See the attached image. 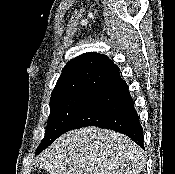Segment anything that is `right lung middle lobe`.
<instances>
[{
	"mask_svg": "<svg viewBox=\"0 0 175 174\" xmlns=\"http://www.w3.org/2000/svg\"><path fill=\"white\" fill-rule=\"evenodd\" d=\"M90 92H71L50 99V115L44 139L39 148L49 146L65 130Z\"/></svg>",
	"mask_w": 175,
	"mask_h": 174,
	"instance_id": "1",
	"label": "right lung middle lobe"
}]
</instances>
